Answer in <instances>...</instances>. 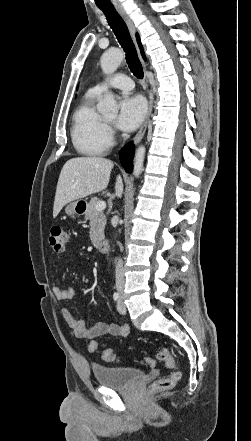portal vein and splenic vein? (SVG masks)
<instances>
[{"label":"portal vein and splenic vein","mask_w":251,"mask_h":441,"mask_svg":"<svg viewBox=\"0 0 251 441\" xmlns=\"http://www.w3.org/2000/svg\"><path fill=\"white\" fill-rule=\"evenodd\" d=\"M96 210L98 211H102L106 208V203L105 201H98L96 206H95Z\"/></svg>","instance_id":"18ae733b"}]
</instances>
